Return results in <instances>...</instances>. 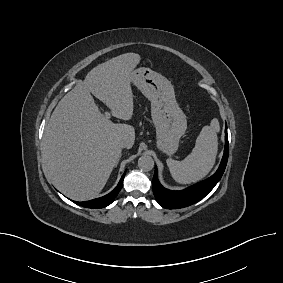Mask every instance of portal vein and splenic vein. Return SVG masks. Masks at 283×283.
Segmentation results:
<instances>
[{
	"label": "portal vein and splenic vein",
	"instance_id": "1",
	"mask_svg": "<svg viewBox=\"0 0 283 283\" xmlns=\"http://www.w3.org/2000/svg\"><path fill=\"white\" fill-rule=\"evenodd\" d=\"M110 117H111V116H110V113H109L108 111H106V112H105V118H106V119H110Z\"/></svg>",
	"mask_w": 283,
	"mask_h": 283
}]
</instances>
